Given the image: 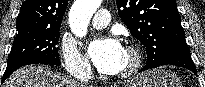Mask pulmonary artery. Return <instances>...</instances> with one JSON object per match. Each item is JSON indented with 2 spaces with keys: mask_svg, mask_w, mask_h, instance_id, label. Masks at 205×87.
<instances>
[{
  "mask_svg": "<svg viewBox=\"0 0 205 87\" xmlns=\"http://www.w3.org/2000/svg\"><path fill=\"white\" fill-rule=\"evenodd\" d=\"M110 20L111 16L109 11L106 9H100L93 16L91 23L94 28L102 29L108 26Z\"/></svg>",
  "mask_w": 205,
  "mask_h": 87,
  "instance_id": "1",
  "label": "pulmonary artery"
}]
</instances>
